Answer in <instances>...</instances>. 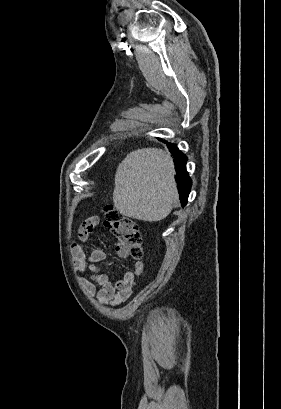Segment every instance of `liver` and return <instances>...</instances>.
I'll return each instance as SVG.
<instances>
[{
	"label": "liver",
	"instance_id": "obj_1",
	"mask_svg": "<svg viewBox=\"0 0 281 409\" xmlns=\"http://www.w3.org/2000/svg\"><path fill=\"white\" fill-rule=\"evenodd\" d=\"M174 162L162 148L132 150L118 164L113 202L121 215L162 221L178 198Z\"/></svg>",
	"mask_w": 281,
	"mask_h": 409
}]
</instances>
